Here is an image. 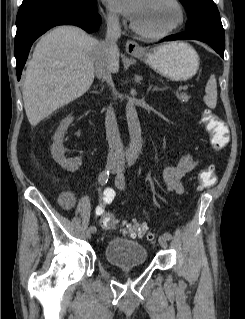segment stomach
Instances as JSON below:
<instances>
[{
  "label": "stomach",
  "instance_id": "obj_1",
  "mask_svg": "<svg viewBox=\"0 0 245 319\" xmlns=\"http://www.w3.org/2000/svg\"><path fill=\"white\" fill-rule=\"evenodd\" d=\"M135 57L174 81L192 78L200 64L196 50L186 42H170L135 54Z\"/></svg>",
  "mask_w": 245,
  "mask_h": 319
}]
</instances>
